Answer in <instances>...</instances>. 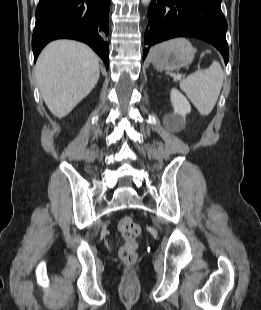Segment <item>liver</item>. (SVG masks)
I'll return each instance as SVG.
<instances>
[{"label": "liver", "mask_w": 261, "mask_h": 310, "mask_svg": "<svg viewBox=\"0 0 261 310\" xmlns=\"http://www.w3.org/2000/svg\"><path fill=\"white\" fill-rule=\"evenodd\" d=\"M35 74L40 93L53 115L63 118L95 87L99 58L87 45L57 40L41 52Z\"/></svg>", "instance_id": "obj_1"}]
</instances>
